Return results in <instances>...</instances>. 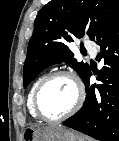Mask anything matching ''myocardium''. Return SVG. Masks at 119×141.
<instances>
[{
    "label": "myocardium",
    "instance_id": "1",
    "mask_svg": "<svg viewBox=\"0 0 119 141\" xmlns=\"http://www.w3.org/2000/svg\"><path fill=\"white\" fill-rule=\"evenodd\" d=\"M57 77H67L72 81V83L74 84V87H75V91H76V98H75V101H74L72 107L66 113H64L61 116L56 117V118H48V117L44 116L40 110L39 96H40L43 88L51 80H53ZM83 101H84V89H83V86H82L79 78L76 76V74L73 73L72 71H68V70H59V71H55V72L48 74L39 83V85L35 89V92L33 95V109H34V112H35L37 118H39L45 122H59V121L65 120V119L71 117L72 115H74L81 108Z\"/></svg>",
    "mask_w": 119,
    "mask_h": 141
}]
</instances>
